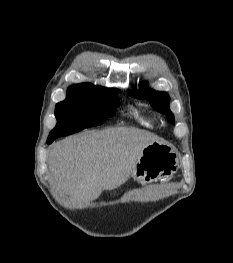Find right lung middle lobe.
Here are the masks:
<instances>
[{"label":"right lung middle lobe","instance_id":"right-lung-middle-lobe-1","mask_svg":"<svg viewBox=\"0 0 233 263\" xmlns=\"http://www.w3.org/2000/svg\"><path fill=\"white\" fill-rule=\"evenodd\" d=\"M119 92L120 90L115 89L100 96L67 97L57 103V125L50 132L47 141L53 142L58 137L100 125L114 116L119 106Z\"/></svg>","mask_w":233,"mask_h":263}]
</instances>
